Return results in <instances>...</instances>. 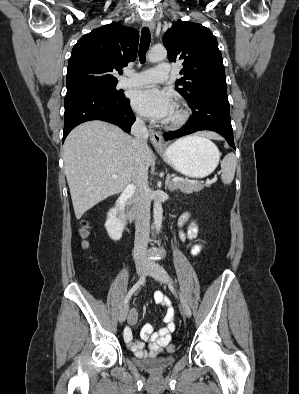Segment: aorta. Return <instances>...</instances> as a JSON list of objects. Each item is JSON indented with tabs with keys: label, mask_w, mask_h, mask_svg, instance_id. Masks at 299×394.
<instances>
[{
	"label": "aorta",
	"mask_w": 299,
	"mask_h": 394,
	"mask_svg": "<svg viewBox=\"0 0 299 394\" xmlns=\"http://www.w3.org/2000/svg\"><path fill=\"white\" fill-rule=\"evenodd\" d=\"M167 57V51L164 47H153L148 54V59L150 62L156 63L164 60ZM154 213V225L157 232L160 231L162 226V215L163 209L161 202L158 198H155L153 205Z\"/></svg>",
	"instance_id": "1"
}]
</instances>
